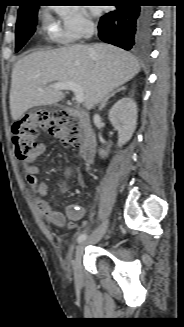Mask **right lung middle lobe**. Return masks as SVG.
<instances>
[{
    "mask_svg": "<svg viewBox=\"0 0 184 327\" xmlns=\"http://www.w3.org/2000/svg\"><path fill=\"white\" fill-rule=\"evenodd\" d=\"M38 7L34 6L18 12L15 52H18L36 31Z\"/></svg>",
    "mask_w": 184,
    "mask_h": 327,
    "instance_id": "dd1d6c3e",
    "label": "right lung middle lobe"
}]
</instances>
